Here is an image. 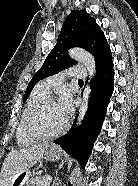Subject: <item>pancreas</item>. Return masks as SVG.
Masks as SVG:
<instances>
[{
  "instance_id": "cf45deb5",
  "label": "pancreas",
  "mask_w": 138,
  "mask_h": 186,
  "mask_svg": "<svg viewBox=\"0 0 138 186\" xmlns=\"http://www.w3.org/2000/svg\"><path fill=\"white\" fill-rule=\"evenodd\" d=\"M48 176L36 177L31 180L30 186H43L44 181Z\"/></svg>"
}]
</instances>
